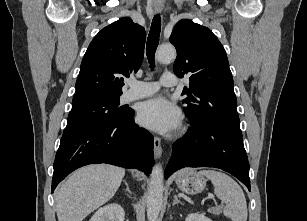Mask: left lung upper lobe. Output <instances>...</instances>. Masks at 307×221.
<instances>
[{"label":"left lung upper lobe","instance_id":"obj_1","mask_svg":"<svg viewBox=\"0 0 307 221\" xmlns=\"http://www.w3.org/2000/svg\"><path fill=\"white\" fill-rule=\"evenodd\" d=\"M177 50L174 73L190 76L183 108L192 125H217L242 136L233 77L224 47L207 27L179 21L170 36Z\"/></svg>","mask_w":307,"mask_h":221}]
</instances>
